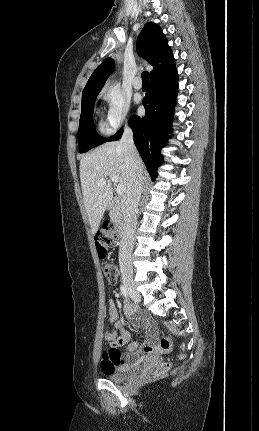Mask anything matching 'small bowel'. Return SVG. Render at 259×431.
<instances>
[{"instance_id": "1", "label": "small bowel", "mask_w": 259, "mask_h": 431, "mask_svg": "<svg viewBox=\"0 0 259 431\" xmlns=\"http://www.w3.org/2000/svg\"><path fill=\"white\" fill-rule=\"evenodd\" d=\"M123 312L129 318L133 315V310L129 305L124 307ZM108 314L109 323L112 326V329L105 333V339L109 342L110 348L102 354L101 370L103 373L125 366L131 359L136 358L138 356L137 348L139 345L138 343L129 345L128 352L126 354H122L119 348L128 343L130 335L122 322L118 319L119 313L113 299L108 300ZM133 325L145 328L148 331L150 338L154 336L155 330L149 321H133Z\"/></svg>"}]
</instances>
